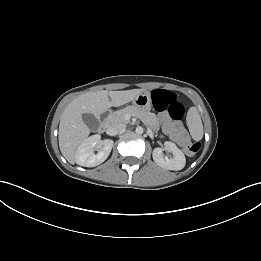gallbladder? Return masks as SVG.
I'll use <instances>...</instances> for the list:
<instances>
[{
  "label": "gallbladder",
  "instance_id": "1",
  "mask_svg": "<svg viewBox=\"0 0 261 261\" xmlns=\"http://www.w3.org/2000/svg\"><path fill=\"white\" fill-rule=\"evenodd\" d=\"M83 121L89 127L90 130L96 131L99 127V121L93 114L85 113L82 115Z\"/></svg>",
  "mask_w": 261,
  "mask_h": 261
}]
</instances>
